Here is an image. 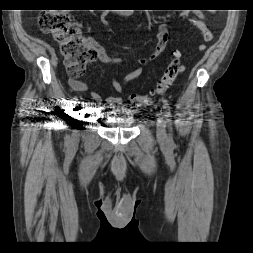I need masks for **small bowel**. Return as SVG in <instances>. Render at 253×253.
I'll use <instances>...</instances> for the list:
<instances>
[{"label": "small bowel", "instance_id": "1", "mask_svg": "<svg viewBox=\"0 0 253 253\" xmlns=\"http://www.w3.org/2000/svg\"><path fill=\"white\" fill-rule=\"evenodd\" d=\"M181 17L190 20L202 32L205 41L209 42L213 39V34L207 28L205 17L203 14H192V13L183 12L181 14ZM168 41H169L168 27L165 23H160L158 26L157 41L154 48L147 56L130 61V63L134 65V68L129 73H127L126 76L124 77V84L129 85L136 78H138L142 73L143 66L154 61L157 57H159L165 51L168 45ZM89 43L95 49V53H96L95 58L99 60L100 62L106 63V64L126 63L120 58L109 56L106 50L102 46L98 45L97 43L92 42V41H89ZM205 49H206V45L201 44L199 46V50L204 51ZM69 85L74 91L81 94H85L89 88L88 83L82 80H79L77 78H73V77L69 78ZM111 85L116 92L120 94L123 92L122 84L119 83V81L115 77L111 80ZM90 96L96 102L103 103L102 97L97 92L92 91L90 93ZM104 103L107 105L121 106L123 101L121 97L110 96L104 100Z\"/></svg>", "mask_w": 253, "mask_h": 253}]
</instances>
